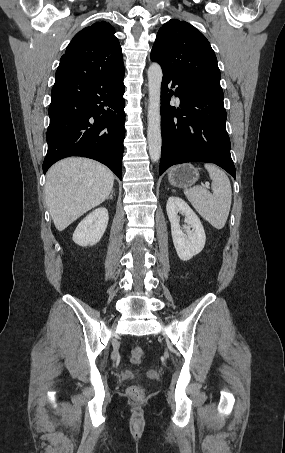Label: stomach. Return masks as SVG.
Masks as SVG:
<instances>
[{"mask_svg": "<svg viewBox=\"0 0 285 453\" xmlns=\"http://www.w3.org/2000/svg\"><path fill=\"white\" fill-rule=\"evenodd\" d=\"M199 178V170L192 164L174 166L168 173L169 183L175 187H189Z\"/></svg>", "mask_w": 285, "mask_h": 453, "instance_id": "0dacf381", "label": "stomach"}]
</instances>
